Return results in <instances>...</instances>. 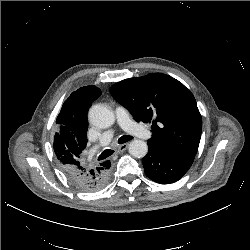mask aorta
<instances>
[{
	"label": "aorta",
	"mask_w": 250,
	"mask_h": 250,
	"mask_svg": "<svg viewBox=\"0 0 250 250\" xmlns=\"http://www.w3.org/2000/svg\"><path fill=\"white\" fill-rule=\"evenodd\" d=\"M88 116L90 123L99 129H107L115 123L113 111L104 105L92 106ZM128 150L133 157L143 158L148 152V146L145 141L135 139L130 142Z\"/></svg>",
	"instance_id": "762f6f07"
}]
</instances>
